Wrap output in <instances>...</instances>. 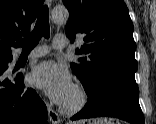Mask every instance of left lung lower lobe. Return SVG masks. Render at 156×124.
<instances>
[{"mask_svg": "<svg viewBox=\"0 0 156 124\" xmlns=\"http://www.w3.org/2000/svg\"><path fill=\"white\" fill-rule=\"evenodd\" d=\"M139 89L121 83H108L88 95L87 104L71 119L116 117L132 124H144L138 101Z\"/></svg>", "mask_w": 156, "mask_h": 124, "instance_id": "obj_1", "label": "left lung lower lobe"}]
</instances>
